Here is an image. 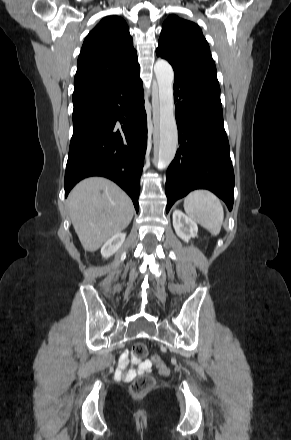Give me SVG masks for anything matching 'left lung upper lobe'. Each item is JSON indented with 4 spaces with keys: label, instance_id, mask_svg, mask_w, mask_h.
I'll list each match as a JSON object with an SVG mask.
<instances>
[{
    "label": "left lung upper lobe",
    "instance_id": "1",
    "mask_svg": "<svg viewBox=\"0 0 291 440\" xmlns=\"http://www.w3.org/2000/svg\"><path fill=\"white\" fill-rule=\"evenodd\" d=\"M158 44L156 55L168 60L174 72L219 85L209 45L198 25L170 15Z\"/></svg>",
    "mask_w": 291,
    "mask_h": 440
}]
</instances>
